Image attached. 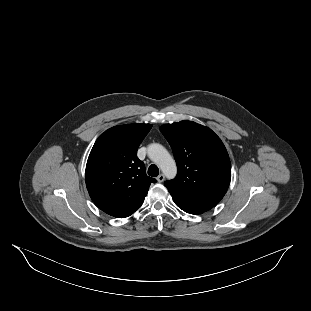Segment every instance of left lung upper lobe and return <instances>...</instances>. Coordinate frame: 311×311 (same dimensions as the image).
<instances>
[{"mask_svg":"<svg viewBox=\"0 0 311 311\" xmlns=\"http://www.w3.org/2000/svg\"><path fill=\"white\" fill-rule=\"evenodd\" d=\"M160 131L171 145L177 176L164 182L170 194L186 201L214 207L231 180V163L220 138L192 121L165 124Z\"/></svg>","mask_w":311,"mask_h":311,"instance_id":"1","label":"left lung upper lobe"}]
</instances>
